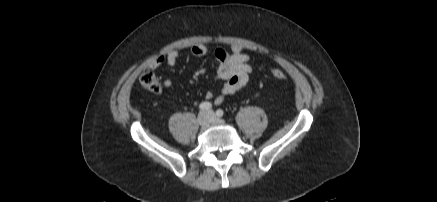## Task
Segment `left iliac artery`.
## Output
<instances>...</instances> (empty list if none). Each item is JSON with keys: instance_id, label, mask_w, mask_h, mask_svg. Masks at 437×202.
Returning <instances> with one entry per match:
<instances>
[{"instance_id": "44dca946", "label": "left iliac artery", "mask_w": 437, "mask_h": 202, "mask_svg": "<svg viewBox=\"0 0 437 202\" xmlns=\"http://www.w3.org/2000/svg\"><path fill=\"white\" fill-rule=\"evenodd\" d=\"M223 114H224V112H223V110H221V109H218V110L216 111V115H217L218 117H222Z\"/></svg>"}]
</instances>
